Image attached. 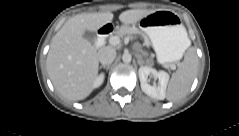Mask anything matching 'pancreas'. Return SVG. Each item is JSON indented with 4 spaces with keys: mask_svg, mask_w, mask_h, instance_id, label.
Here are the masks:
<instances>
[{
    "mask_svg": "<svg viewBox=\"0 0 239 136\" xmlns=\"http://www.w3.org/2000/svg\"><path fill=\"white\" fill-rule=\"evenodd\" d=\"M141 32L134 27H129V26H122L120 27L115 34L118 35L119 37H123V36H134L137 34H140Z\"/></svg>",
    "mask_w": 239,
    "mask_h": 136,
    "instance_id": "cf45deb5",
    "label": "pancreas"
}]
</instances>
